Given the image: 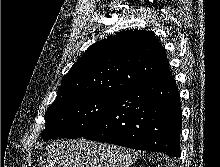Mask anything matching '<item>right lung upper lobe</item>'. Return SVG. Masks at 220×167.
<instances>
[{
  "label": "right lung upper lobe",
  "instance_id": "obj_1",
  "mask_svg": "<svg viewBox=\"0 0 220 167\" xmlns=\"http://www.w3.org/2000/svg\"><path fill=\"white\" fill-rule=\"evenodd\" d=\"M170 74L165 49L145 30H128L96 42L64 76L57 98L114 95Z\"/></svg>",
  "mask_w": 220,
  "mask_h": 167
}]
</instances>
